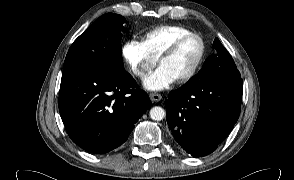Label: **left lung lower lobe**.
<instances>
[{"label":"left lung lower lobe","instance_id":"obj_1","mask_svg":"<svg viewBox=\"0 0 294 180\" xmlns=\"http://www.w3.org/2000/svg\"><path fill=\"white\" fill-rule=\"evenodd\" d=\"M242 92L241 78L214 79L172 91L165 104L172 138L194 157L212 153L238 120Z\"/></svg>","mask_w":294,"mask_h":180}]
</instances>
